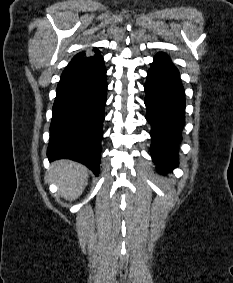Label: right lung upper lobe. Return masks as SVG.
<instances>
[{"instance_id": "cb5924a9", "label": "right lung upper lobe", "mask_w": 233, "mask_h": 283, "mask_svg": "<svg viewBox=\"0 0 233 283\" xmlns=\"http://www.w3.org/2000/svg\"><path fill=\"white\" fill-rule=\"evenodd\" d=\"M108 49H94V50H81L78 54H76L73 59H79L82 57H86V55L91 56H100V54H108Z\"/></svg>"}]
</instances>
